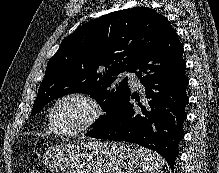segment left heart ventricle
<instances>
[{"instance_id":"obj_1","label":"left heart ventricle","mask_w":219,"mask_h":173,"mask_svg":"<svg viewBox=\"0 0 219 173\" xmlns=\"http://www.w3.org/2000/svg\"><path fill=\"white\" fill-rule=\"evenodd\" d=\"M89 113L88 107L76 99H68L60 103L54 112V121L61 131H70L85 120Z\"/></svg>"}]
</instances>
